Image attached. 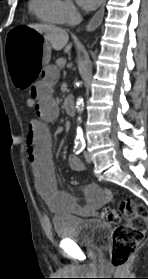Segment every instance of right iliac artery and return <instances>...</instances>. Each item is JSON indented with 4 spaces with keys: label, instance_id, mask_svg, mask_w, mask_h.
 I'll use <instances>...</instances> for the list:
<instances>
[{
    "label": "right iliac artery",
    "instance_id": "82829eb1",
    "mask_svg": "<svg viewBox=\"0 0 148 279\" xmlns=\"http://www.w3.org/2000/svg\"><path fill=\"white\" fill-rule=\"evenodd\" d=\"M82 150H83L82 146H75L73 151L75 154H79Z\"/></svg>",
    "mask_w": 148,
    "mask_h": 279
}]
</instances>
